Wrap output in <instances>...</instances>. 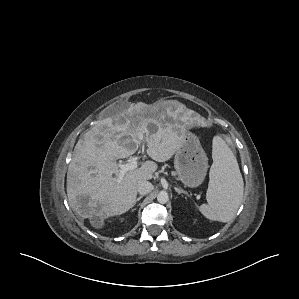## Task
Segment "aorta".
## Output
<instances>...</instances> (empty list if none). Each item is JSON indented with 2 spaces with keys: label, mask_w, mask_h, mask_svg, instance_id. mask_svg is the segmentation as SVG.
<instances>
[{
  "label": "aorta",
  "mask_w": 299,
  "mask_h": 299,
  "mask_svg": "<svg viewBox=\"0 0 299 299\" xmlns=\"http://www.w3.org/2000/svg\"><path fill=\"white\" fill-rule=\"evenodd\" d=\"M169 200V196L168 193L165 191H161L158 195H157V201L161 204H165L167 203Z\"/></svg>",
  "instance_id": "1"
}]
</instances>
